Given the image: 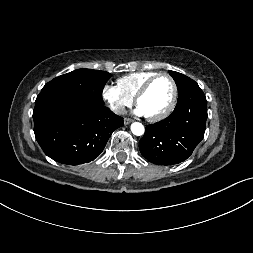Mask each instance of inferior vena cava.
<instances>
[{
	"label": "inferior vena cava",
	"instance_id": "1",
	"mask_svg": "<svg viewBox=\"0 0 253 253\" xmlns=\"http://www.w3.org/2000/svg\"><path fill=\"white\" fill-rule=\"evenodd\" d=\"M111 110H113L115 113L117 114H125L126 113V109L124 106H119V105H111L110 106Z\"/></svg>",
	"mask_w": 253,
	"mask_h": 253
}]
</instances>
